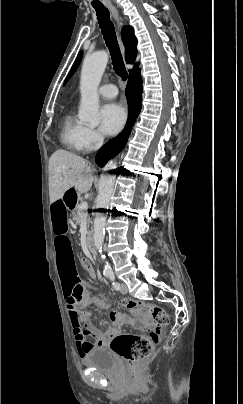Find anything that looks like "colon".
<instances>
[{
	"instance_id": "obj_1",
	"label": "colon",
	"mask_w": 243,
	"mask_h": 404,
	"mask_svg": "<svg viewBox=\"0 0 243 404\" xmlns=\"http://www.w3.org/2000/svg\"><path fill=\"white\" fill-rule=\"evenodd\" d=\"M84 271L91 270L88 259L80 261ZM103 305V303H101ZM119 304L134 313H148L156 324L149 335L118 334L111 341V348L130 363H139L149 357L160 340V327L168 324L167 312L160 306L143 303L133 299H121Z\"/></svg>"
}]
</instances>
